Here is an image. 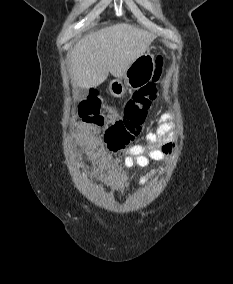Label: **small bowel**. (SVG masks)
I'll return each instance as SVG.
<instances>
[{"label":"small bowel","mask_w":233,"mask_h":284,"mask_svg":"<svg viewBox=\"0 0 233 284\" xmlns=\"http://www.w3.org/2000/svg\"><path fill=\"white\" fill-rule=\"evenodd\" d=\"M171 114L166 112L162 114L154 130L145 135V143L130 147L124 157L120 159H107L105 161L106 182L115 188H120L126 181V169L134 167L145 168L149 166L151 160L161 161L169 155L173 149L169 133ZM80 136H86L85 129H81ZM156 169L151 170L148 174L140 177L139 182L145 184L148 178L155 175Z\"/></svg>","instance_id":"c3829d8e"}]
</instances>
